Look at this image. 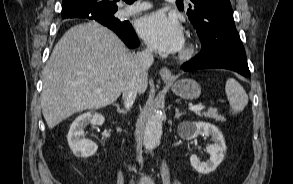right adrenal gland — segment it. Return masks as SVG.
I'll list each match as a JSON object with an SVG mask.
<instances>
[{
  "label": "right adrenal gland",
  "instance_id": "obj_1",
  "mask_svg": "<svg viewBox=\"0 0 293 184\" xmlns=\"http://www.w3.org/2000/svg\"><path fill=\"white\" fill-rule=\"evenodd\" d=\"M114 106H116V108H117V112L119 113V114H125L126 113V110L125 109H122L121 107H120V105L119 104H114Z\"/></svg>",
  "mask_w": 293,
  "mask_h": 184
}]
</instances>
